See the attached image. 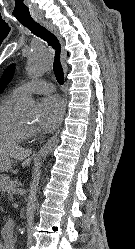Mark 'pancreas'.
<instances>
[{
    "instance_id": "1",
    "label": "pancreas",
    "mask_w": 135,
    "mask_h": 249,
    "mask_svg": "<svg viewBox=\"0 0 135 249\" xmlns=\"http://www.w3.org/2000/svg\"><path fill=\"white\" fill-rule=\"evenodd\" d=\"M19 185V181L18 180H13L9 183V185L6 187V190H16V188L18 187Z\"/></svg>"
}]
</instances>
